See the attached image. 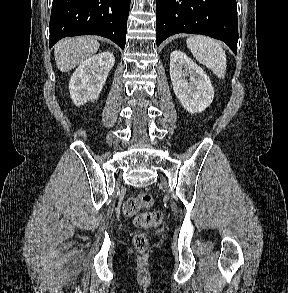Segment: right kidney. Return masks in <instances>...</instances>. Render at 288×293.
<instances>
[{"instance_id":"ca27d5eb","label":"right kidney","mask_w":288,"mask_h":293,"mask_svg":"<svg viewBox=\"0 0 288 293\" xmlns=\"http://www.w3.org/2000/svg\"><path fill=\"white\" fill-rule=\"evenodd\" d=\"M114 63L113 53L106 51L90 57L74 71L69 90L76 106L99 98Z\"/></svg>"}]
</instances>
